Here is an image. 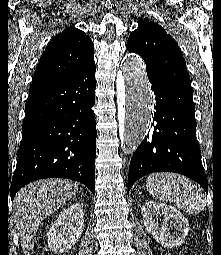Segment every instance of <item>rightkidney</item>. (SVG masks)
<instances>
[{
	"mask_svg": "<svg viewBox=\"0 0 221 255\" xmlns=\"http://www.w3.org/2000/svg\"><path fill=\"white\" fill-rule=\"evenodd\" d=\"M84 228L83 209L79 203L66 208L48 232V248L54 252H67L79 240Z\"/></svg>",
	"mask_w": 221,
	"mask_h": 255,
	"instance_id": "1",
	"label": "right kidney"
}]
</instances>
